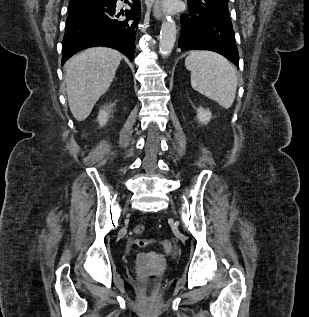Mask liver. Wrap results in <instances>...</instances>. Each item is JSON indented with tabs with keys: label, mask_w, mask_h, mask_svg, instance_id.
I'll return each mask as SVG.
<instances>
[{
	"label": "liver",
	"mask_w": 309,
	"mask_h": 317,
	"mask_svg": "<svg viewBox=\"0 0 309 317\" xmlns=\"http://www.w3.org/2000/svg\"><path fill=\"white\" fill-rule=\"evenodd\" d=\"M122 54L114 49L96 47L87 49L65 64L66 91L72 115L85 120L95 103L108 90Z\"/></svg>",
	"instance_id": "6515ba94"
}]
</instances>
